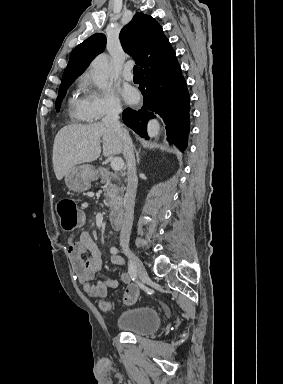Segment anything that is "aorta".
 Listing matches in <instances>:
<instances>
[{"mask_svg": "<svg viewBox=\"0 0 283 384\" xmlns=\"http://www.w3.org/2000/svg\"><path fill=\"white\" fill-rule=\"evenodd\" d=\"M92 78L98 88L104 89L107 86L109 78V61L105 54L98 55L91 63ZM148 135L156 137L160 131V125L157 120H151L148 123Z\"/></svg>", "mask_w": 283, "mask_h": 384, "instance_id": "aorta-1", "label": "aorta"}]
</instances>
